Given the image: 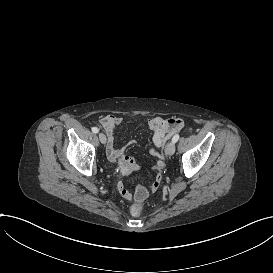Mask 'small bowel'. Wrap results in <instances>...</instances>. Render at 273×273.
<instances>
[{
  "label": "small bowel",
  "mask_w": 273,
  "mask_h": 273,
  "mask_svg": "<svg viewBox=\"0 0 273 273\" xmlns=\"http://www.w3.org/2000/svg\"><path fill=\"white\" fill-rule=\"evenodd\" d=\"M122 122V118L115 114H107L100 118L99 123L107 138V156L112 162H118L119 170L123 176L129 175L138 169L135 160L126 154L127 146H118L115 141V129ZM148 126L152 131V146L150 153L157 158L156 168L159 172H164L167 168V158L162 157L159 149L163 146L166 138L178 132L182 126L183 121L177 117L164 118L161 116L153 117L148 121ZM162 183V176L156 175L155 181L150 185L149 191L155 192L159 189ZM119 193L124 195L127 199L133 198V193L130 189H126L124 182L118 183Z\"/></svg>",
  "instance_id": "obj_1"
}]
</instances>
